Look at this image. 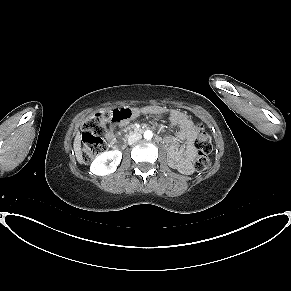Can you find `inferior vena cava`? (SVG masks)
Instances as JSON below:
<instances>
[{
    "mask_svg": "<svg viewBox=\"0 0 291 291\" xmlns=\"http://www.w3.org/2000/svg\"><path fill=\"white\" fill-rule=\"evenodd\" d=\"M141 138H142L141 134L134 133V134H132V135L129 136L128 143L129 144H133L134 142L138 141Z\"/></svg>",
    "mask_w": 291,
    "mask_h": 291,
    "instance_id": "obj_1",
    "label": "inferior vena cava"
}]
</instances>
